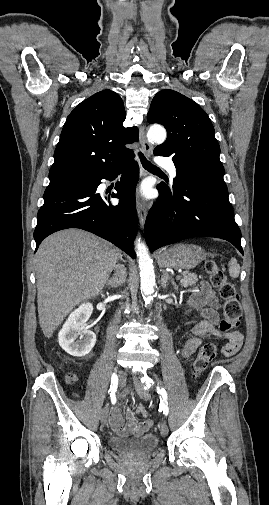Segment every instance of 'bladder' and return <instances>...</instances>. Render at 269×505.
Returning <instances> with one entry per match:
<instances>
[{
  "label": "bladder",
  "instance_id": "31cf9c89",
  "mask_svg": "<svg viewBox=\"0 0 269 505\" xmlns=\"http://www.w3.org/2000/svg\"><path fill=\"white\" fill-rule=\"evenodd\" d=\"M108 445L111 450L123 456L146 457L156 450L158 438L153 434H145L134 438L114 436L108 440Z\"/></svg>",
  "mask_w": 269,
  "mask_h": 505
}]
</instances>
